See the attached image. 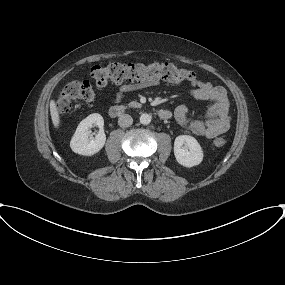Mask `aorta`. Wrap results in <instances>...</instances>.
I'll list each match as a JSON object with an SVG mask.
<instances>
[{"label": "aorta", "instance_id": "762f6f07", "mask_svg": "<svg viewBox=\"0 0 285 285\" xmlns=\"http://www.w3.org/2000/svg\"><path fill=\"white\" fill-rule=\"evenodd\" d=\"M151 122V115L143 113L140 116V123L143 125H148Z\"/></svg>", "mask_w": 285, "mask_h": 285}]
</instances>
